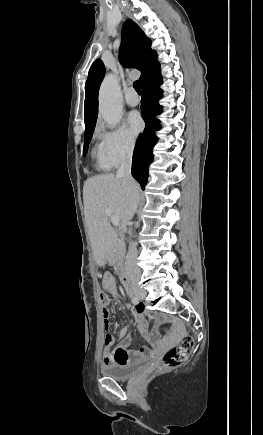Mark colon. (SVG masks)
I'll return each instance as SVG.
<instances>
[{
	"label": "colon",
	"instance_id": "obj_1",
	"mask_svg": "<svg viewBox=\"0 0 263 435\" xmlns=\"http://www.w3.org/2000/svg\"><path fill=\"white\" fill-rule=\"evenodd\" d=\"M106 298L105 294H101L100 299L104 301ZM114 334L110 333V330H105V335L103 336V348L104 350H113L115 343ZM193 338L190 335H185L182 337L178 346L169 349L163 356L162 362L158 367V372L168 371L170 369L176 368L183 364L189 354L193 349Z\"/></svg>",
	"mask_w": 263,
	"mask_h": 435
}]
</instances>
